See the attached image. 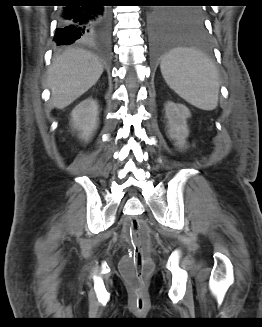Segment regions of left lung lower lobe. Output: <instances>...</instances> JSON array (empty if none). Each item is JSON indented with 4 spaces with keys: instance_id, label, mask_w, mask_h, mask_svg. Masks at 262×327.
Listing matches in <instances>:
<instances>
[{
    "instance_id": "1",
    "label": "left lung lower lobe",
    "mask_w": 262,
    "mask_h": 327,
    "mask_svg": "<svg viewBox=\"0 0 262 327\" xmlns=\"http://www.w3.org/2000/svg\"><path fill=\"white\" fill-rule=\"evenodd\" d=\"M171 9H157L149 22L150 48L153 54L186 48L207 51L210 41L203 22H187Z\"/></svg>"
}]
</instances>
